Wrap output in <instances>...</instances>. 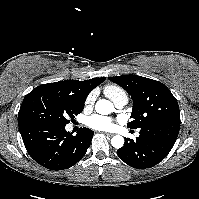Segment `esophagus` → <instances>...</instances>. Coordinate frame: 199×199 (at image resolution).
Masks as SVG:
<instances>
[{
	"mask_svg": "<svg viewBox=\"0 0 199 199\" xmlns=\"http://www.w3.org/2000/svg\"><path fill=\"white\" fill-rule=\"evenodd\" d=\"M107 137H112L113 136V134H111V133H104Z\"/></svg>",
	"mask_w": 199,
	"mask_h": 199,
	"instance_id": "34e87169",
	"label": "esophagus"
}]
</instances>
